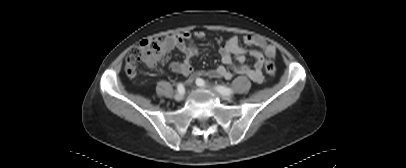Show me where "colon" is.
<instances>
[{
  "instance_id": "5ec220e1",
  "label": "colon",
  "mask_w": 406,
  "mask_h": 168,
  "mask_svg": "<svg viewBox=\"0 0 406 168\" xmlns=\"http://www.w3.org/2000/svg\"><path fill=\"white\" fill-rule=\"evenodd\" d=\"M168 58L169 52L165 46V40L158 36L149 37L130 50L125 61V72L129 77H134L139 64L154 66L164 63ZM265 70L270 76L276 73L275 64L269 58L265 60Z\"/></svg>"
}]
</instances>
